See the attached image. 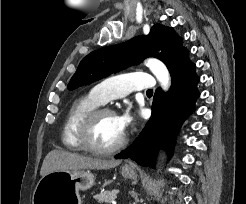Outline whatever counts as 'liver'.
<instances>
[{
	"mask_svg": "<svg viewBox=\"0 0 246 204\" xmlns=\"http://www.w3.org/2000/svg\"><path fill=\"white\" fill-rule=\"evenodd\" d=\"M120 163V160L98 159L67 151L52 150L43 161L40 175L44 177L54 171L66 170H107L118 166Z\"/></svg>",
	"mask_w": 246,
	"mask_h": 204,
	"instance_id": "liver-1",
	"label": "liver"
}]
</instances>
